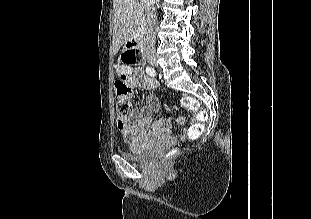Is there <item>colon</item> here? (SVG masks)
Instances as JSON below:
<instances>
[{
	"mask_svg": "<svg viewBox=\"0 0 311 219\" xmlns=\"http://www.w3.org/2000/svg\"><path fill=\"white\" fill-rule=\"evenodd\" d=\"M126 62L129 64H135V55L132 52H128ZM116 93H117V116L122 119L126 116L129 109V95L131 87L125 75L119 76L115 82ZM182 106L191 111L194 115V122L188 130V137L195 139L200 135L203 130V123L207 119V112L202 108L197 100L191 97H184L181 101ZM170 152L168 155H171Z\"/></svg>",
	"mask_w": 311,
	"mask_h": 219,
	"instance_id": "1",
	"label": "colon"
}]
</instances>
